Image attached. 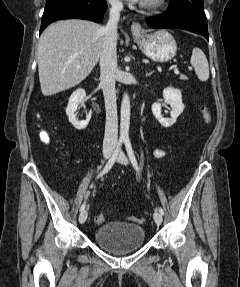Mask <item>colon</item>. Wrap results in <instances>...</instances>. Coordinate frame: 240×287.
<instances>
[{
	"instance_id": "colon-1",
	"label": "colon",
	"mask_w": 240,
	"mask_h": 287,
	"mask_svg": "<svg viewBox=\"0 0 240 287\" xmlns=\"http://www.w3.org/2000/svg\"><path fill=\"white\" fill-rule=\"evenodd\" d=\"M201 112H202V115H203L204 119L206 121H208L209 117H210V114H209V111H208L207 107L206 106H202L201 107ZM40 138L45 143H48L50 141L49 134L46 131H41ZM129 218H130V220H132L134 222H142L143 221L142 218H138V217H135V216H131ZM104 221H105V215L104 214H99V215L95 216V218H94V222L97 225L102 224Z\"/></svg>"
}]
</instances>
